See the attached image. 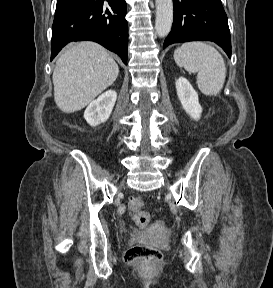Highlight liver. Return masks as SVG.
<instances>
[{"label": "liver", "mask_w": 273, "mask_h": 288, "mask_svg": "<svg viewBox=\"0 0 273 288\" xmlns=\"http://www.w3.org/2000/svg\"><path fill=\"white\" fill-rule=\"evenodd\" d=\"M119 68L107 50L94 42L71 44L56 61L54 100L65 113L79 111L116 80Z\"/></svg>", "instance_id": "obj_1"}]
</instances>
